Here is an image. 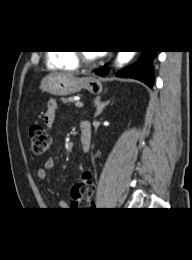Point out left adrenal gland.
Masks as SVG:
<instances>
[{
    "label": "left adrenal gland",
    "mask_w": 192,
    "mask_h": 260,
    "mask_svg": "<svg viewBox=\"0 0 192 260\" xmlns=\"http://www.w3.org/2000/svg\"><path fill=\"white\" fill-rule=\"evenodd\" d=\"M110 103V100L106 101V102H101V99H100V96L99 97H96L95 100H94V105L96 107V112H95V116L94 117H97L99 116L103 109Z\"/></svg>",
    "instance_id": "obj_1"
}]
</instances>
